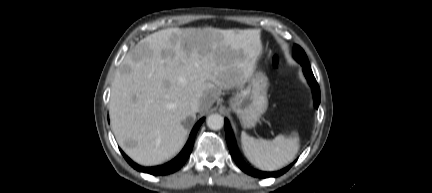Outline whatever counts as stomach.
<instances>
[{
	"mask_svg": "<svg viewBox=\"0 0 432 193\" xmlns=\"http://www.w3.org/2000/svg\"><path fill=\"white\" fill-rule=\"evenodd\" d=\"M268 87L269 80L265 73L254 69L247 87L229 99V106L236 113L244 128L254 127L267 110Z\"/></svg>",
	"mask_w": 432,
	"mask_h": 193,
	"instance_id": "1",
	"label": "stomach"
}]
</instances>
